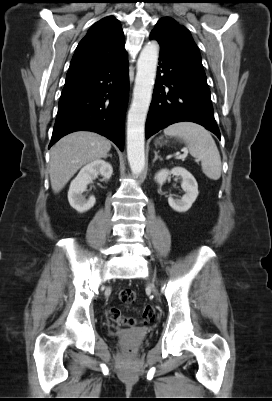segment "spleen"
I'll use <instances>...</instances> for the list:
<instances>
[{
	"label": "spleen",
	"instance_id": "obj_1",
	"mask_svg": "<svg viewBox=\"0 0 272 401\" xmlns=\"http://www.w3.org/2000/svg\"><path fill=\"white\" fill-rule=\"evenodd\" d=\"M164 134L181 139L190 154L201 160L202 171L209 179L221 177V157L214 139L205 128L192 122H179L165 128Z\"/></svg>",
	"mask_w": 272,
	"mask_h": 401
}]
</instances>
